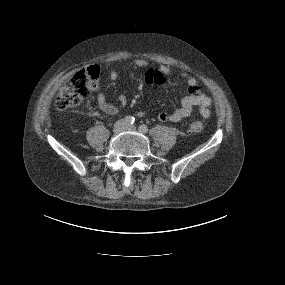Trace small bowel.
I'll return each mask as SVG.
<instances>
[{"label": "small bowel", "instance_id": "small-bowel-1", "mask_svg": "<svg viewBox=\"0 0 285 285\" xmlns=\"http://www.w3.org/2000/svg\"><path fill=\"white\" fill-rule=\"evenodd\" d=\"M134 67L142 68L148 65V62L143 59H137L133 62ZM182 78L188 88V95L182 99L181 105L171 112L162 111L158 114V118L161 121L178 122L187 117H189L195 107H198L199 113L203 118H208L211 114L210 106L212 104L211 98L200 91L197 79L187 72H183L179 76ZM109 78L112 81L118 79V73L116 71H111L109 73ZM175 75L172 70L167 66H162L158 70H149L145 74V84L147 86L161 85L165 79L173 80ZM121 105L126 104L125 96L121 95L119 97ZM98 108L109 115H114L118 112L117 106L107 101L103 93H99L97 96Z\"/></svg>", "mask_w": 285, "mask_h": 285}]
</instances>
